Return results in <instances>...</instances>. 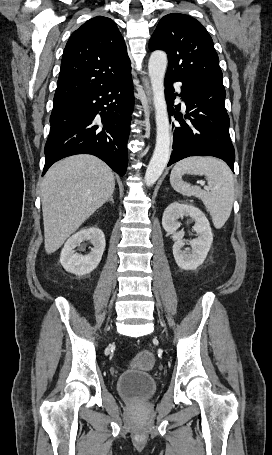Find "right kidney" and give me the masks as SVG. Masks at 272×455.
Wrapping results in <instances>:
<instances>
[{"instance_id":"ca27d5eb","label":"right kidney","mask_w":272,"mask_h":455,"mask_svg":"<svg viewBox=\"0 0 272 455\" xmlns=\"http://www.w3.org/2000/svg\"><path fill=\"white\" fill-rule=\"evenodd\" d=\"M89 240L93 245L91 252L86 255L75 253V248ZM105 236L97 227L80 230L72 235L61 251L60 263L67 272L75 275H85L92 272L100 263L105 250Z\"/></svg>"}]
</instances>
